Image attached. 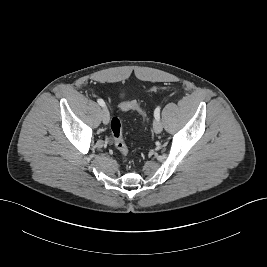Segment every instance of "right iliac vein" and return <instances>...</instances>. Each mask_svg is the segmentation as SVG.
Masks as SVG:
<instances>
[{
  "mask_svg": "<svg viewBox=\"0 0 267 267\" xmlns=\"http://www.w3.org/2000/svg\"><path fill=\"white\" fill-rule=\"evenodd\" d=\"M101 117H102V121H103V123H104L105 125H107L108 122H109V112H108V110H107L106 108H104V109L102 110Z\"/></svg>",
  "mask_w": 267,
  "mask_h": 267,
  "instance_id": "1",
  "label": "right iliac vein"
}]
</instances>
